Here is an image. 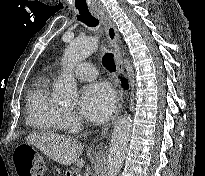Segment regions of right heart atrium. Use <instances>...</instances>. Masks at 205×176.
I'll use <instances>...</instances> for the list:
<instances>
[{"instance_id":"1","label":"right heart atrium","mask_w":205,"mask_h":176,"mask_svg":"<svg viewBox=\"0 0 205 176\" xmlns=\"http://www.w3.org/2000/svg\"><path fill=\"white\" fill-rule=\"evenodd\" d=\"M63 118L65 124L67 125H76L80 123V118L78 114L75 111L70 109H64Z\"/></svg>"}]
</instances>
